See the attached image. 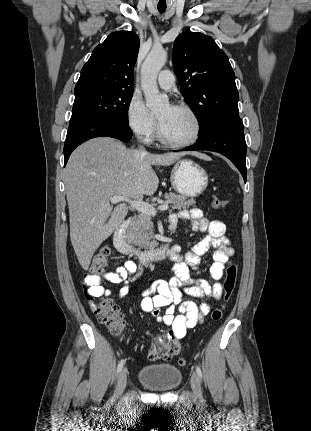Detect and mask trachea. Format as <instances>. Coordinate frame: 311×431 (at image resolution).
<instances>
[{"label": "trachea", "instance_id": "3493384b", "mask_svg": "<svg viewBox=\"0 0 311 431\" xmlns=\"http://www.w3.org/2000/svg\"><path fill=\"white\" fill-rule=\"evenodd\" d=\"M158 10L160 13H164L166 10V7H158Z\"/></svg>", "mask_w": 311, "mask_h": 431}]
</instances>
